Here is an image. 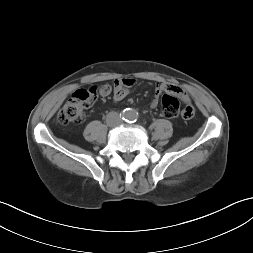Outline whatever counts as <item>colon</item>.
I'll return each instance as SVG.
<instances>
[{
  "label": "colon",
  "instance_id": "1",
  "mask_svg": "<svg viewBox=\"0 0 253 253\" xmlns=\"http://www.w3.org/2000/svg\"><path fill=\"white\" fill-rule=\"evenodd\" d=\"M98 95V89L95 87L76 90L59 110L58 121L62 124H80L85 118V110ZM161 108L166 118L173 119L180 115V103L174 94L163 95Z\"/></svg>",
  "mask_w": 253,
  "mask_h": 253
}]
</instances>
